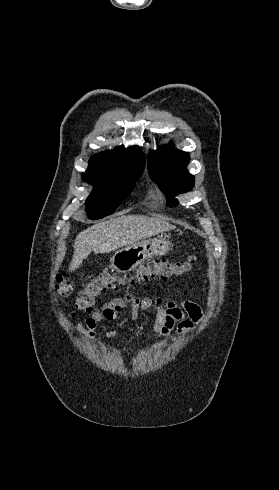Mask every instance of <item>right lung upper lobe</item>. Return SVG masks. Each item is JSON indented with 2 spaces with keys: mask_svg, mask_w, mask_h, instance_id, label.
Listing matches in <instances>:
<instances>
[{
  "mask_svg": "<svg viewBox=\"0 0 279 490\" xmlns=\"http://www.w3.org/2000/svg\"><path fill=\"white\" fill-rule=\"evenodd\" d=\"M145 158L139 147L120 148L93 156L84 177L107 178L129 169H144Z\"/></svg>",
  "mask_w": 279,
  "mask_h": 490,
  "instance_id": "right-lung-upper-lobe-1",
  "label": "right lung upper lobe"
}]
</instances>
